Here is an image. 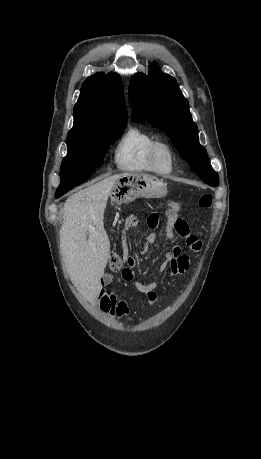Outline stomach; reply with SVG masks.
Returning <instances> with one entry per match:
<instances>
[{
    "mask_svg": "<svg viewBox=\"0 0 261 459\" xmlns=\"http://www.w3.org/2000/svg\"><path fill=\"white\" fill-rule=\"evenodd\" d=\"M166 194L167 187L159 179L144 173H125L110 195L115 203L122 204L137 198H161Z\"/></svg>",
    "mask_w": 261,
    "mask_h": 459,
    "instance_id": "1",
    "label": "stomach"
}]
</instances>
